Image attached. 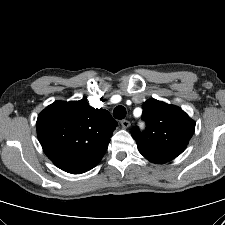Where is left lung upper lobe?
<instances>
[{"instance_id":"obj_1","label":"left lung upper lobe","mask_w":225,"mask_h":225,"mask_svg":"<svg viewBox=\"0 0 225 225\" xmlns=\"http://www.w3.org/2000/svg\"><path fill=\"white\" fill-rule=\"evenodd\" d=\"M145 131L134 127L131 135L139 152L149 161L163 164L180 155L195 130V122L179 107L149 99L143 103Z\"/></svg>"}]
</instances>
